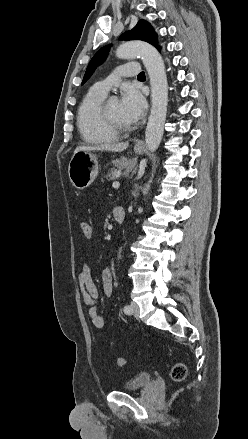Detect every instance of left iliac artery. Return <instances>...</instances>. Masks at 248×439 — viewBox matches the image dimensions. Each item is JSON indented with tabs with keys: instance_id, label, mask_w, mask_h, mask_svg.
Here are the masks:
<instances>
[{
	"instance_id": "obj_1",
	"label": "left iliac artery",
	"mask_w": 248,
	"mask_h": 439,
	"mask_svg": "<svg viewBox=\"0 0 248 439\" xmlns=\"http://www.w3.org/2000/svg\"><path fill=\"white\" fill-rule=\"evenodd\" d=\"M123 311H124V313H126V314H131V312H132V308H131V306L130 305H125L124 307H123Z\"/></svg>"
}]
</instances>
